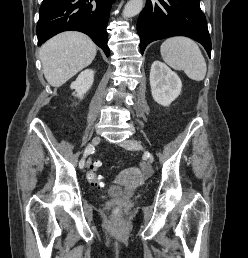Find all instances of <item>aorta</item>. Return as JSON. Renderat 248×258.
I'll use <instances>...</instances> for the list:
<instances>
[{"label":"aorta","instance_id":"obj_1","mask_svg":"<svg viewBox=\"0 0 248 258\" xmlns=\"http://www.w3.org/2000/svg\"><path fill=\"white\" fill-rule=\"evenodd\" d=\"M143 8V0H129L123 10V16L126 18L133 17L140 13Z\"/></svg>","mask_w":248,"mask_h":258}]
</instances>
